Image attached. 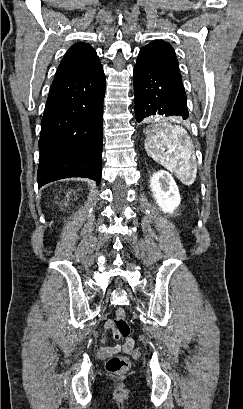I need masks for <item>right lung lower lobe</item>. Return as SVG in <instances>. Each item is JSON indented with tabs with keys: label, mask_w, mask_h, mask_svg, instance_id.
<instances>
[{
	"label": "right lung lower lobe",
	"mask_w": 243,
	"mask_h": 409,
	"mask_svg": "<svg viewBox=\"0 0 243 409\" xmlns=\"http://www.w3.org/2000/svg\"><path fill=\"white\" fill-rule=\"evenodd\" d=\"M102 65L82 76H56L41 121L39 187L67 177L101 179Z\"/></svg>",
	"instance_id": "1"
}]
</instances>
